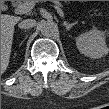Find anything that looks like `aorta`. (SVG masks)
Returning a JSON list of instances; mask_svg holds the SVG:
<instances>
[{
  "label": "aorta",
  "instance_id": "aorta-1",
  "mask_svg": "<svg viewBox=\"0 0 109 109\" xmlns=\"http://www.w3.org/2000/svg\"><path fill=\"white\" fill-rule=\"evenodd\" d=\"M40 31L43 36L52 37L57 33L58 27L52 21H43L40 24Z\"/></svg>",
  "mask_w": 109,
  "mask_h": 109
}]
</instances>
